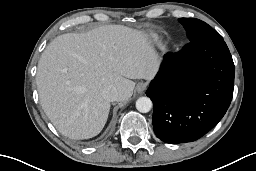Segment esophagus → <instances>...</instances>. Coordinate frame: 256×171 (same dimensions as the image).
I'll return each mask as SVG.
<instances>
[{
	"mask_svg": "<svg viewBox=\"0 0 256 171\" xmlns=\"http://www.w3.org/2000/svg\"><path fill=\"white\" fill-rule=\"evenodd\" d=\"M147 88V84L145 82H139L136 86V90L138 93H143V91Z\"/></svg>",
	"mask_w": 256,
	"mask_h": 171,
	"instance_id": "obj_1",
	"label": "esophagus"
}]
</instances>
